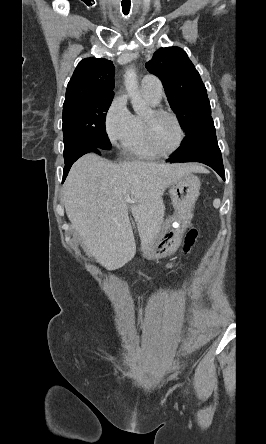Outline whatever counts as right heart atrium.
Listing matches in <instances>:
<instances>
[{
  "mask_svg": "<svg viewBox=\"0 0 266 444\" xmlns=\"http://www.w3.org/2000/svg\"><path fill=\"white\" fill-rule=\"evenodd\" d=\"M131 113L126 104L125 97L122 94H117L106 114L104 119V129L109 142L113 145L122 143L130 124Z\"/></svg>",
  "mask_w": 266,
  "mask_h": 444,
  "instance_id": "obj_1",
  "label": "right heart atrium"
}]
</instances>
